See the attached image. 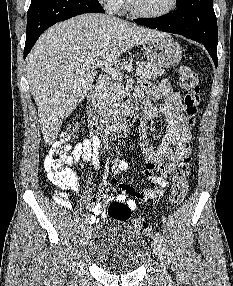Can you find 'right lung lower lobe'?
Listing matches in <instances>:
<instances>
[{"mask_svg":"<svg viewBox=\"0 0 233 286\" xmlns=\"http://www.w3.org/2000/svg\"><path fill=\"white\" fill-rule=\"evenodd\" d=\"M105 12L98 0H32L27 13L24 59L50 26L84 13Z\"/></svg>","mask_w":233,"mask_h":286,"instance_id":"obj_1","label":"right lung lower lobe"}]
</instances>
